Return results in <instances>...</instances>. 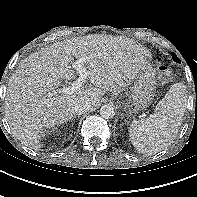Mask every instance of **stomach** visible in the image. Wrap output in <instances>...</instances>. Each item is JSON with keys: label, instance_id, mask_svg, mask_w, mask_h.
Instances as JSON below:
<instances>
[{"label": "stomach", "instance_id": "stomach-1", "mask_svg": "<svg viewBox=\"0 0 197 197\" xmlns=\"http://www.w3.org/2000/svg\"><path fill=\"white\" fill-rule=\"evenodd\" d=\"M155 85V69L149 60H146L139 67L128 99L121 102L124 111L133 115L146 109L154 99Z\"/></svg>", "mask_w": 197, "mask_h": 197}]
</instances>
